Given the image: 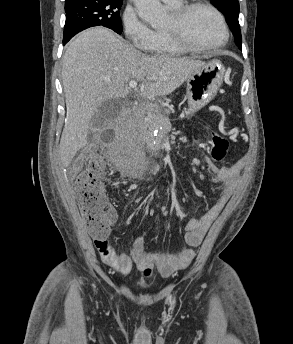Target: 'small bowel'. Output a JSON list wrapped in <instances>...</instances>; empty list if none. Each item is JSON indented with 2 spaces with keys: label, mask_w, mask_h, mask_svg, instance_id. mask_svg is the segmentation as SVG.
<instances>
[{
  "label": "small bowel",
  "mask_w": 293,
  "mask_h": 344,
  "mask_svg": "<svg viewBox=\"0 0 293 344\" xmlns=\"http://www.w3.org/2000/svg\"><path fill=\"white\" fill-rule=\"evenodd\" d=\"M206 163L208 170L212 173L210 183L212 185L220 184L222 192L215 204L202 217L188 222L185 237L188 247L180 249L176 254H167L158 250L147 251L144 239L138 238L129 253H119L111 246L108 238L95 239L94 245L102 261L119 275L130 273L134 266L138 269L156 266L166 275L188 267L195 256L192 247L201 244L210 225L235 192L239 174L243 168L242 161L227 167H218L209 160Z\"/></svg>",
  "instance_id": "small-bowel-1"
}]
</instances>
